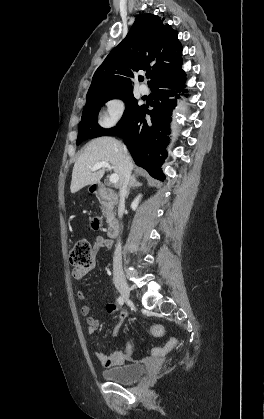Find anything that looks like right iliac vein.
<instances>
[{"label":"right iliac vein","instance_id":"right-iliac-vein-1","mask_svg":"<svg viewBox=\"0 0 264 419\" xmlns=\"http://www.w3.org/2000/svg\"><path fill=\"white\" fill-rule=\"evenodd\" d=\"M114 283L125 301L130 302V289L126 281L121 277H115Z\"/></svg>","mask_w":264,"mask_h":419}]
</instances>
